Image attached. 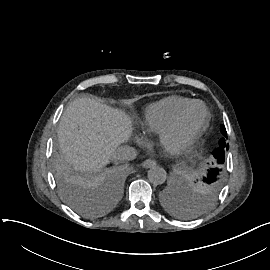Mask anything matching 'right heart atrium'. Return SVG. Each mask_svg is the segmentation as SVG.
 I'll return each instance as SVG.
<instances>
[{
  "label": "right heart atrium",
  "mask_w": 270,
  "mask_h": 270,
  "mask_svg": "<svg viewBox=\"0 0 270 270\" xmlns=\"http://www.w3.org/2000/svg\"><path fill=\"white\" fill-rule=\"evenodd\" d=\"M151 137L149 135H141L137 137L134 142L137 147H143L150 141Z\"/></svg>",
  "instance_id": "1"
}]
</instances>
